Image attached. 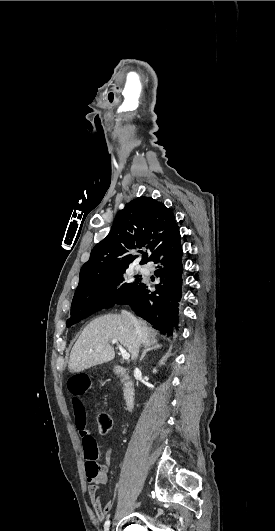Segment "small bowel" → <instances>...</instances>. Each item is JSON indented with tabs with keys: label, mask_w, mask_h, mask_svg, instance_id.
Instances as JSON below:
<instances>
[{
	"label": "small bowel",
	"mask_w": 275,
	"mask_h": 531,
	"mask_svg": "<svg viewBox=\"0 0 275 531\" xmlns=\"http://www.w3.org/2000/svg\"><path fill=\"white\" fill-rule=\"evenodd\" d=\"M97 376L95 374L90 375H69L67 379V389L71 396V403L73 414L75 417H84L87 414L85 391L92 388L90 383H95ZM76 427L78 429L83 448L96 443L94 437L85 427V421L81 423L76 420ZM107 456L109 452H106ZM91 485L88 488V496L90 503L96 513L99 520L106 518L108 513L114 507V501H108L106 503L101 502L100 487L105 485L108 481L107 473L105 471L100 472L96 477L89 478Z\"/></svg>",
	"instance_id": "c3829d8e"
}]
</instances>
